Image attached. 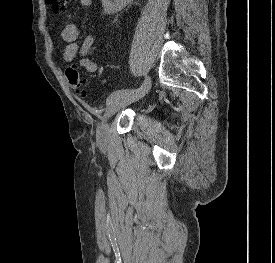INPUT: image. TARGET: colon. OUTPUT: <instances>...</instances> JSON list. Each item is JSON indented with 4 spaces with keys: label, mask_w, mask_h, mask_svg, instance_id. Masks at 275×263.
I'll return each mask as SVG.
<instances>
[{
    "label": "colon",
    "mask_w": 275,
    "mask_h": 263,
    "mask_svg": "<svg viewBox=\"0 0 275 263\" xmlns=\"http://www.w3.org/2000/svg\"><path fill=\"white\" fill-rule=\"evenodd\" d=\"M55 13H64L67 9L68 0H46ZM65 77L71 88L80 96L86 97L87 91L84 87L85 82L81 77L78 68L74 65H69L65 69Z\"/></svg>",
    "instance_id": "5ec220e1"
}]
</instances>
